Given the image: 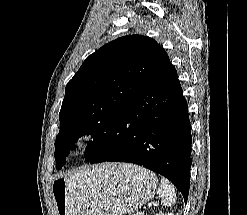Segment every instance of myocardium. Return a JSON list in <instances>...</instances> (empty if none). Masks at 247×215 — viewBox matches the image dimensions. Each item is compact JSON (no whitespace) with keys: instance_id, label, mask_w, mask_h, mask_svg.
<instances>
[{"instance_id":"1","label":"myocardium","mask_w":247,"mask_h":215,"mask_svg":"<svg viewBox=\"0 0 247 215\" xmlns=\"http://www.w3.org/2000/svg\"><path fill=\"white\" fill-rule=\"evenodd\" d=\"M95 140V135L87 130L79 132L73 141V148L78 151L86 150Z\"/></svg>"}]
</instances>
